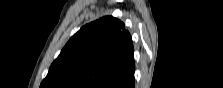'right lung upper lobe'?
<instances>
[{
    "mask_svg": "<svg viewBox=\"0 0 223 88\" xmlns=\"http://www.w3.org/2000/svg\"><path fill=\"white\" fill-rule=\"evenodd\" d=\"M134 71L131 35L106 16L71 37L40 88H131Z\"/></svg>",
    "mask_w": 223,
    "mask_h": 88,
    "instance_id": "obj_1",
    "label": "right lung upper lobe"
}]
</instances>
